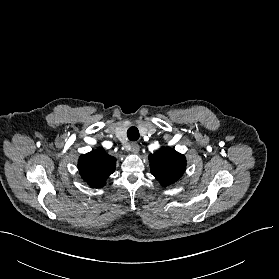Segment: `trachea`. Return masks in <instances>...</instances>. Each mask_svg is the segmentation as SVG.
<instances>
[{
    "label": "trachea",
    "instance_id": "obj_1",
    "mask_svg": "<svg viewBox=\"0 0 279 279\" xmlns=\"http://www.w3.org/2000/svg\"><path fill=\"white\" fill-rule=\"evenodd\" d=\"M127 137L130 141H137L139 139V130L132 126L127 130Z\"/></svg>",
    "mask_w": 279,
    "mask_h": 279
}]
</instances>
